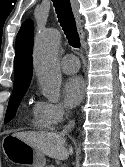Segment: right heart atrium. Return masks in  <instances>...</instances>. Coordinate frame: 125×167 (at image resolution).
<instances>
[{"label":"right heart atrium","instance_id":"obj_1","mask_svg":"<svg viewBox=\"0 0 125 167\" xmlns=\"http://www.w3.org/2000/svg\"><path fill=\"white\" fill-rule=\"evenodd\" d=\"M35 113L48 128L59 126L68 116V109L62 103L39 101L34 107Z\"/></svg>","mask_w":125,"mask_h":167}]
</instances>
